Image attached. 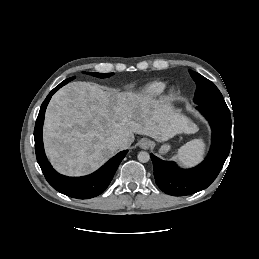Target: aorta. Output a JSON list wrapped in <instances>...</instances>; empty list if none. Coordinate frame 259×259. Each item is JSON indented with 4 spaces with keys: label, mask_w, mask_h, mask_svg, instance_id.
<instances>
[{
    "label": "aorta",
    "mask_w": 259,
    "mask_h": 259,
    "mask_svg": "<svg viewBox=\"0 0 259 259\" xmlns=\"http://www.w3.org/2000/svg\"><path fill=\"white\" fill-rule=\"evenodd\" d=\"M137 158L140 162L146 163L150 160V155H149L148 152L141 151V152L138 153Z\"/></svg>",
    "instance_id": "aorta-1"
}]
</instances>
